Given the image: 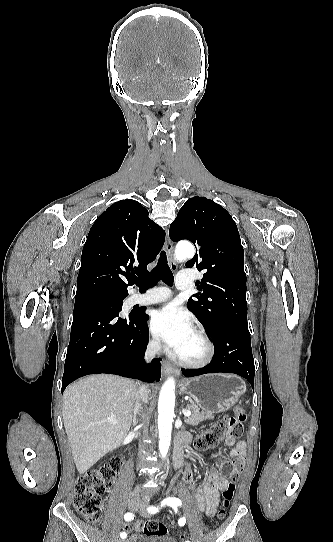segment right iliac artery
I'll use <instances>...</instances> for the list:
<instances>
[{
    "instance_id": "82829eb1",
    "label": "right iliac artery",
    "mask_w": 333,
    "mask_h": 542,
    "mask_svg": "<svg viewBox=\"0 0 333 542\" xmlns=\"http://www.w3.org/2000/svg\"><path fill=\"white\" fill-rule=\"evenodd\" d=\"M133 518H134V517H133L132 513H126L125 516H124V519H125L126 521H130V520H132ZM120 537L124 539V538L127 537V534H126L125 532H122V533L120 534Z\"/></svg>"
}]
</instances>
